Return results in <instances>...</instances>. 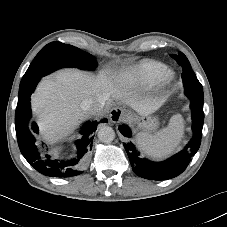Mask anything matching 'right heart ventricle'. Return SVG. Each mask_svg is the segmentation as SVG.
Masks as SVG:
<instances>
[{"label":"right heart ventricle","mask_w":227,"mask_h":227,"mask_svg":"<svg viewBox=\"0 0 227 227\" xmlns=\"http://www.w3.org/2000/svg\"><path fill=\"white\" fill-rule=\"evenodd\" d=\"M168 72V67L157 61H142L133 67L129 74V81L138 86L153 85L160 81Z\"/></svg>","instance_id":"right-heart-ventricle-1"}]
</instances>
